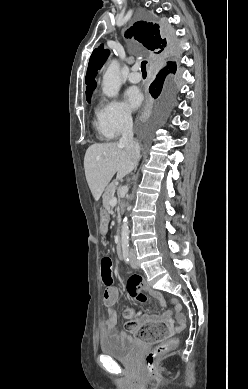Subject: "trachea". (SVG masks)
Masks as SVG:
<instances>
[{"mask_svg":"<svg viewBox=\"0 0 248 389\" xmlns=\"http://www.w3.org/2000/svg\"><path fill=\"white\" fill-rule=\"evenodd\" d=\"M146 64H147V61H142L141 62V71L143 73H146Z\"/></svg>","mask_w":248,"mask_h":389,"instance_id":"trachea-1","label":"trachea"}]
</instances>
